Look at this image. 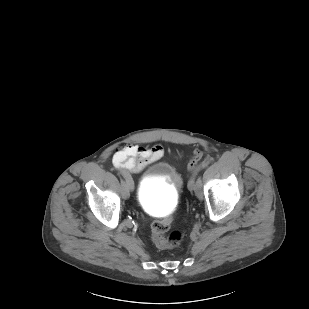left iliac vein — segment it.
<instances>
[{
	"mask_svg": "<svg viewBox=\"0 0 309 309\" xmlns=\"http://www.w3.org/2000/svg\"><path fill=\"white\" fill-rule=\"evenodd\" d=\"M188 188L190 191L194 190L195 191V195L197 198H202V190L201 187H196L193 185V183L190 181L188 184Z\"/></svg>",
	"mask_w": 309,
	"mask_h": 309,
	"instance_id": "obj_1",
	"label": "left iliac vein"
}]
</instances>
